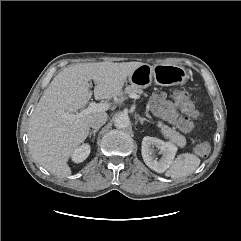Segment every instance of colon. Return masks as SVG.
Here are the masks:
<instances>
[{
    "instance_id": "1",
    "label": "colon",
    "mask_w": 241,
    "mask_h": 241,
    "mask_svg": "<svg viewBox=\"0 0 241 241\" xmlns=\"http://www.w3.org/2000/svg\"><path fill=\"white\" fill-rule=\"evenodd\" d=\"M175 103L180 107V109L189 117L198 119L202 116L200 110L197 109L195 104L189 99L188 95L183 92L176 90L173 94ZM196 152L198 155L204 157L210 152V145L208 142H200L196 146Z\"/></svg>"
}]
</instances>
